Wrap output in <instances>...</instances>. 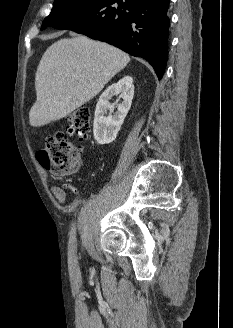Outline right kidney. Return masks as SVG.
Masks as SVG:
<instances>
[{"label": "right kidney", "instance_id": "right-kidney-1", "mask_svg": "<svg viewBox=\"0 0 233 328\" xmlns=\"http://www.w3.org/2000/svg\"><path fill=\"white\" fill-rule=\"evenodd\" d=\"M115 95H119L123 101L117 104V111L112 116L115 104L111 105L109 100ZM133 96L134 86L131 76H124L102 93L96 105L93 124L94 139L98 144H109L115 140L131 107ZM108 110L110 113L106 116Z\"/></svg>", "mask_w": 233, "mask_h": 328}]
</instances>
